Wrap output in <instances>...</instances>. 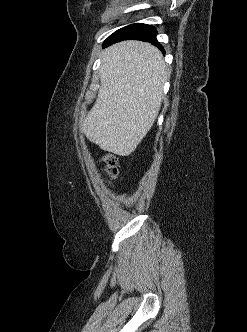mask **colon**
I'll return each instance as SVG.
<instances>
[{
  "label": "colon",
  "mask_w": 247,
  "mask_h": 332,
  "mask_svg": "<svg viewBox=\"0 0 247 332\" xmlns=\"http://www.w3.org/2000/svg\"><path fill=\"white\" fill-rule=\"evenodd\" d=\"M103 169L110 178L116 177L118 173L117 158L113 154H105L102 159Z\"/></svg>",
  "instance_id": "5ec220e1"
}]
</instances>
